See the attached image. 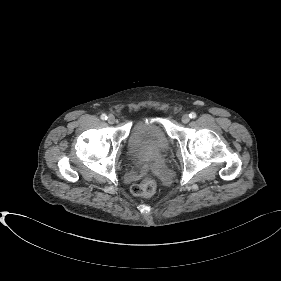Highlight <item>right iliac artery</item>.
Here are the masks:
<instances>
[{
	"mask_svg": "<svg viewBox=\"0 0 281 281\" xmlns=\"http://www.w3.org/2000/svg\"><path fill=\"white\" fill-rule=\"evenodd\" d=\"M101 119H102V120H107L106 114H102V115H101Z\"/></svg>",
	"mask_w": 281,
	"mask_h": 281,
	"instance_id": "1",
	"label": "right iliac artery"
}]
</instances>
